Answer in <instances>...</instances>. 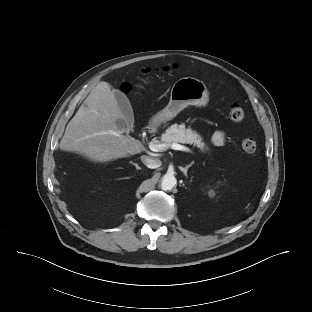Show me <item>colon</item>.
<instances>
[{
  "label": "colon",
  "mask_w": 312,
  "mask_h": 312,
  "mask_svg": "<svg viewBox=\"0 0 312 312\" xmlns=\"http://www.w3.org/2000/svg\"><path fill=\"white\" fill-rule=\"evenodd\" d=\"M132 88V85L129 83H125L122 85V90L125 93H129ZM228 116L231 121L238 123L245 119L246 112L242 105L238 103H233L229 107ZM241 148L245 153L252 154L257 149V143L253 138L245 137L241 141Z\"/></svg>",
  "instance_id": "obj_1"
}]
</instances>
